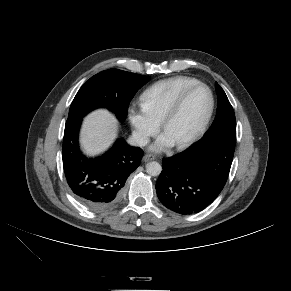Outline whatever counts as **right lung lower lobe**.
Here are the masks:
<instances>
[{
    "instance_id": "98d812e1",
    "label": "right lung lower lobe",
    "mask_w": 291,
    "mask_h": 291,
    "mask_svg": "<svg viewBox=\"0 0 291 291\" xmlns=\"http://www.w3.org/2000/svg\"><path fill=\"white\" fill-rule=\"evenodd\" d=\"M82 117L67 119L62 159L67 183L75 197L91 210L112 206L119 198L128 176L139 166L143 151L119 139L100 157L84 156L78 145Z\"/></svg>"
}]
</instances>
